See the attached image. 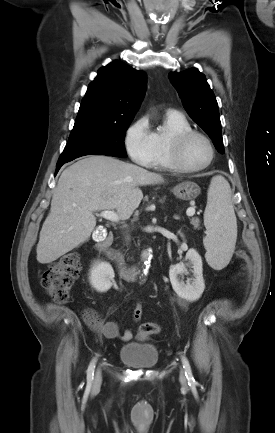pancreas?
I'll return each instance as SVG.
<instances>
[{
	"label": "pancreas",
	"mask_w": 275,
	"mask_h": 433,
	"mask_svg": "<svg viewBox=\"0 0 275 433\" xmlns=\"http://www.w3.org/2000/svg\"><path fill=\"white\" fill-rule=\"evenodd\" d=\"M190 223L194 226V228H198L200 226V221L198 219H191Z\"/></svg>",
	"instance_id": "cf45deb5"
}]
</instances>
